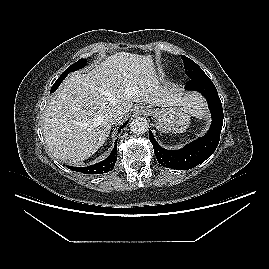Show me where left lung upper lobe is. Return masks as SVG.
<instances>
[{
	"label": "left lung upper lobe",
	"mask_w": 269,
	"mask_h": 269,
	"mask_svg": "<svg viewBox=\"0 0 269 269\" xmlns=\"http://www.w3.org/2000/svg\"><path fill=\"white\" fill-rule=\"evenodd\" d=\"M181 58H182L183 63H184L186 75L190 79H195L197 77L206 75L203 72V70L194 61H192L191 59L187 58L184 55H181Z\"/></svg>",
	"instance_id": "1"
}]
</instances>
